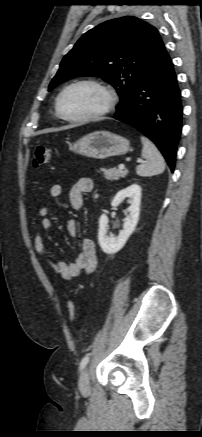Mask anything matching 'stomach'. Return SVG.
I'll use <instances>...</instances> for the list:
<instances>
[{"mask_svg": "<svg viewBox=\"0 0 202 437\" xmlns=\"http://www.w3.org/2000/svg\"><path fill=\"white\" fill-rule=\"evenodd\" d=\"M69 149L77 154L94 158L106 159L120 156L130 151L128 139L108 131H96L70 144Z\"/></svg>", "mask_w": 202, "mask_h": 437, "instance_id": "1", "label": "stomach"}]
</instances>
